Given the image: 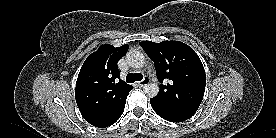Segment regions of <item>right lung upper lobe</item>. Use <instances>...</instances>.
<instances>
[{"mask_svg": "<svg viewBox=\"0 0 276 138\" xmlns=\"http://www.w3.org/2000/svg\"><path fill=\"white\" fill-rule=\"evenodd\" d=\"M128 45H102L87 57L79 72L75 98L82 116L93 126L114 124L123 114L131 85L120 79L117 62Z\"/></svg>", "mask_w": 276, "mask_h": 138, "instance_id": "obj_1", "label": "right lung upper lobe"}]
</instances>
